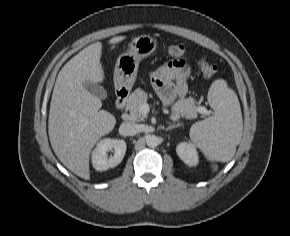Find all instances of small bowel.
<instances>
[{"instance_id":"1","label":"small bowel","mask_w":290,"mask_h":236,"mask_svg":"<svg viewBox=\"0 0 290 236\" xmlns=\"http://www.w3.org/2000/svg\"><path fill=\"white\" fill-rule=\"evenodd\" d=\"M190 73V68L181 61L165 63L152 73V83L165 106L172 105L176 99H184Z\"/></svg>"}]
</instances>
